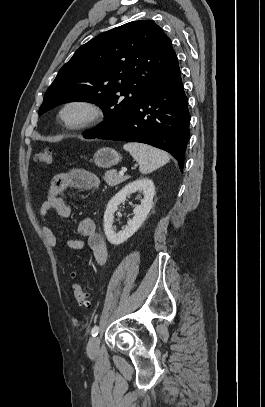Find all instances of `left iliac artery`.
<instances>
[{
  "instance_id": "44dca946",
  "label": "left iliac artery",
  "mask_w": 265,
  "mask_h": 407,
  "mask_svg": "<svg viewBox=\"0 0 265 407\" xmlns=\"http://www.w3.org/2000/svg\"><path fill=\"white\" fill-rule=\"evenodd\" d=\"M98 332H99V327L98 326H94L93 328H92V330H91V335L94 337V336H97L98 335Z\"/></svg>"
}]
</instances>
